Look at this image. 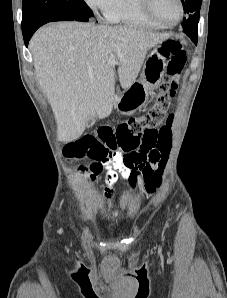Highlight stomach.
I'll return each instance as SVG.
<instances>
[{
    "mask_svg": "<svg viewBox=\"0 0 227 298\" xmlns=\"http://www.w3.org/2000/svg\"><path fill=\"white\" fill-rule=\"evenodd\" d=\"M164 72V58L157 51H152L143 64L139 80L115 96L114 108L121 114H132L142 108L161 82Z\"/></svg>",
    "mask_w": 227,
    "mask_h": 298,
    "instance_id": "1",
    "label": "stomach"
}]
</instances>
